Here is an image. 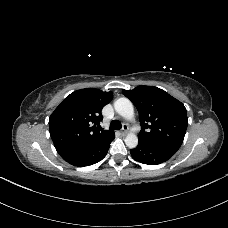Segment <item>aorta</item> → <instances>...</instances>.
Segmentation results:
<instances>
[{
	"mask_svg": "<svg viewBox=\"0 0 228 228\" xmlns=\"http://www.w3.org/2000/svg\"><path fill=\"white\" fill-rule=\"evenodd\" d=\"M115 111L127 120H133L134 107L128 98L122 97L114 102ZM125 144L129 148H135L138 145V137L135 133H129L125 138Z\"/></svg>",
	"mask_w": 228,
	"mask_h": 228,
	"instance_id": "1",
	"label": "aorta"
}]
</instances>
